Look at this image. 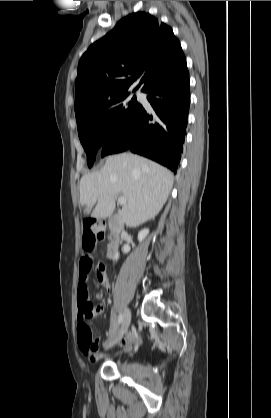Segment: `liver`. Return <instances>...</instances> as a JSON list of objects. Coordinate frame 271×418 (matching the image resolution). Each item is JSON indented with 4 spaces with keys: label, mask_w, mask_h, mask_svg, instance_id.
Listing matches in <instances>:
<instances>
[{
    "label": "liver",
    "mask_w": 271,
    "mask_h": 418,
    "mask_svg": "<svg viewBox=\"0 0 271 418\" xmlns=\"http://www.w3.org/2000/svg\"><path fill=\"white\" fill-rule=\"evenodd\" d=\"M174 176L167 168L144 157L121 153L106 158L98 172L80 180V203L84 213L96 219L110 217L115 197L122 195L127 203L118 218L127 227H137L153 219L163 208L173 187Z\"/></svg>",
    "instance_id": "6515ba94"
}]
</instances>
